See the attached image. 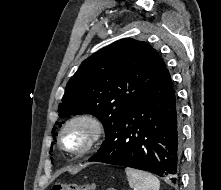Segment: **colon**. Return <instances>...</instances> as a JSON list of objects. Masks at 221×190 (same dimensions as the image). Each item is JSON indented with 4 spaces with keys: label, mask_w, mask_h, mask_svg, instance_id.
<instances>
[{
    "label": "colon",
    "mask_w": 221,
    "mask_h": 190,
    "mask_svg": "<svg viewBox=\"0 0 221 190\" xmlns=\"http://www.w3.org/2000/svg\"><path fill=\"white\" fill-rule=\"evenodd\" d=\"M51 190H94V186L91 184L79 185L55 182Z\"/></svg>",
    "instance_id": "obj_1"
}]
</instances>
